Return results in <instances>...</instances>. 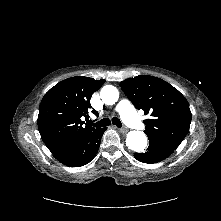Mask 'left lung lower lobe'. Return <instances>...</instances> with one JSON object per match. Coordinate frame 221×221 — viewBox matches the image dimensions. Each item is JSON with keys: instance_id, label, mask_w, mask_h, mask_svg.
<instances>
[{"instance_id": "1", "label": "left lung lower lobe", "mask_w": 221, "mask_h": 221, "mask_svg": "<svg viewBox=\"0 0 221 221\" xmlns=\"http://www.w3.org/2000/svg\"><path fill=\"white\" fill-rule=\"evenodd\" d=\"M175 149L156 142L150 143L145 153H135L134 157L143 163H157L170 156Z\"/></svg>"}]
</instances>
